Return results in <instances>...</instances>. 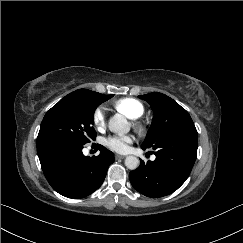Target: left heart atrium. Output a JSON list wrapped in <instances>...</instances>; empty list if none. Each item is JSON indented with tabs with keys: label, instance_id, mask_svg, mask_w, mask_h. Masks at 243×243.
<instances>
[{
	"label": "left heart atrium",
	"instance_id": "39dd6f15",
	"mask_svg": "<svg viewBox=\"0 0 243 243\" xmlns=\"http://www.w3.org/2000/svg\"><path fill=\"white\" fill-rule=\"evenodd\" d=\"M133 140V137L129 135H113L105 140V145L113 151L126 152L129 149V146L133 143Z\"/></svg>",
	"mask_w": 243,
	"mask_h": 243
}]
</instances>
